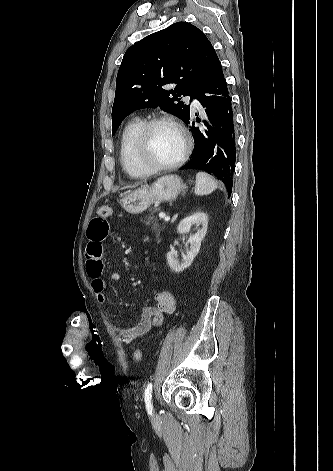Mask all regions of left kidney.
<instances>
[{"label":"left kidney","mask_w":333,"mask_h":471,"mask_svg":"<svg viewBox=\"0 0 333 471\" xmlns=\"http://www.w3.org/2000/svg\"><path fill=\"white\" fill-rule=\"evenodd\" d=\"M196 225L197 233L191 235L188 239L190 249L187 251V255L184 256L183 261L179 262L177 257V251L171 250L167 253V262L171 270L180 273L187 267H189L195 256L198 254L201 246V242L206 235L208 226V216L204 212H196L189 217L184 218L178 225V232L180 234L189 233L191 226Z\"/></svg>","instance_id":"obj_1"}]
</instances>
